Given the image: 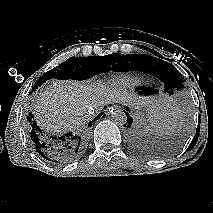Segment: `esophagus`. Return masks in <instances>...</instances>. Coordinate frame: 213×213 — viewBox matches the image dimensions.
<instances>
[{
  "label": "esophagus",
  "mask_w": 213,
  "mask_h": 213,
  "mask_svg": "<svg viewBox=\"0 0 213 213\" xmlns=\"http://www.w3.org/2000/svg\"><path fill=\"white\" fill-rule=\"evenodd\" d=\"M119 108H121V107L114 105L109 108V113L112 114L113 112L117 111Z\"/></svg>",
  "instance_id": "1"
}]
</instances>
